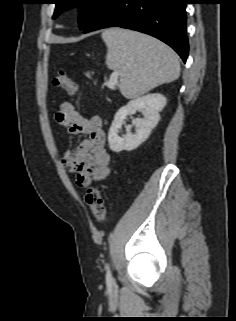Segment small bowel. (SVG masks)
<instances>
[{"instance_id":"c3829d8e","label":"small bowel","mask_w":236,"mask_h":321,"mask_svg":"<svg viewBox=\"0 0 236 321\" xmlns=\"http://www.w3.org/2000/svg\"><path fill=\"white\" fill-rule=\"evenodd\" d=\"M55 122L70 134L88 135L76 148L68 149L62 159L64 166L76 175L78 187L107 179L111 168L102 119L99 116L86 118L71 103L65 102L56 111Z\"/></svg>"}]
</instances>
